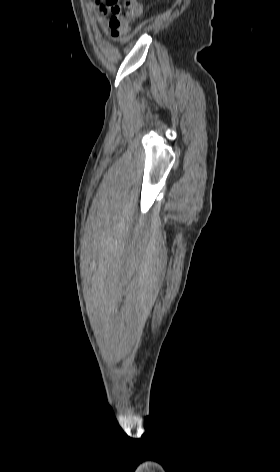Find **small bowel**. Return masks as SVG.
<instances>
[{"mask_svg": "<svg viewBox=\"0 0 280 472\" xmlns=\"http://www.w3.org/2000/svg\"><path fill=\"white\" fill-rule=\"evenodd\" d=\"M107 31L113 38L122 39L128 33V28L126 26L115 27V26L111 25V23L109 21L108 26H107Z\"/></svg>", "mask_w": 280, "mask_h": 472, "instance_id": "obj_1", "label": "small bowel"}]
</instances>
